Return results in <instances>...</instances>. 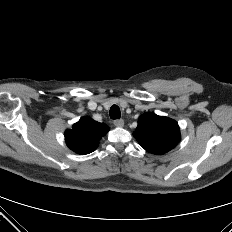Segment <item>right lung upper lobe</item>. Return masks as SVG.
<instances>
[{"mask_svg":"<svg viewBox=\"0 0 232 232\" xmlns=\"http://www.w3.org/2000/svg\"><path fill=\"white\" fill-rule=\"evenodd\" d=\"M108 131L107 125L83 117L65 132L66 144L78 154H89L97 148L99 139Z\"/></svg>","mask_w":232,"mask_h":232,"instance_id":"obj_1","label":"right lung upper lobe"}]
</instances>
